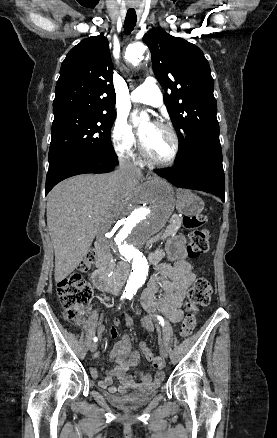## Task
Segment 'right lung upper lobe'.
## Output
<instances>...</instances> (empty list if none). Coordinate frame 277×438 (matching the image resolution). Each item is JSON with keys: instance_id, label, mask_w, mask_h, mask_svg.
I'll return each instance as SVG.
<instances>
[{"instance_id": "1", "label": "right lung upper lobe", "mask_w": 277, "mask_h": 438, "mask_svg": "<svg viewBox=\"0 0 277 438\" xmlns=\"http://www.w3.org/2000/svg\"><path fill=\"white\" fill-rule=\"evenodd\" d=\"M113 65L107 39L101 34L82 40L67 54L56 84L53 113L116 114Z\"/></svg>"}]
</instances>
